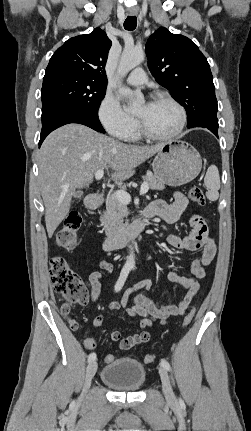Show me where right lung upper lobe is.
<instances>
[{
  "label": "right lung upper lobe",
  "instance_id": "right-lung-upper-lobe-1",
  "mask_svg": "<svg viewBox=\"0 0 251 431\" xmlns=\"http://www.w3.org/2000/svg\"><path fill=\"white\" fill-rule=\"evenodd\" d=\"M111 45L106 33L95 28L90 34L67 40L54 52L46 70L64 69L94 81L107 83L104 68Z\"/></svg>",
  "mask_w": 251,
  "mask_h": 431
}]
</instances>
